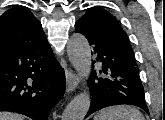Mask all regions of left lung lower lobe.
Here are the masks:
<instances>
[{"instance_id": "1", "label": "left lung lower lobe", "mask_w": 165, "mask_h": 120, "mask_svg": "<svg viewBox=\"0 0 165 120\" xmlns=\"http://www.w3.org/2000/svg\"><path fill=\"white\" fill-rule=\"evenodd\" d=\"M75 32L87 38L95 54L92 65L98 62L100 66L89 78L92 100L86 117L104 107L119 104L135 105L149 113L134 58L93 32L82 20L76 21Z\"/></svg>"}]
</instances>
